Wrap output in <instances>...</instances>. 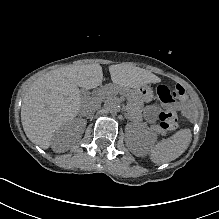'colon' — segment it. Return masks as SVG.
<instances>
[{
	"label": "colon",
	"mask_w": 219,
	"mask_h": 219,
	"mask_svg": "<svg viewBox=\"0 0 219 219\" xmlns=\"http://www.w3.org/2000/svg\"><path fill=\"white\" fill-rule=\"evenodd\" d=\"M172 97L175 99H185L186 93L181 85H176ZM159 124L163 131L171 132L177 127V113L174 109H167L159 113Z\"/></svg>",
	"instance_id": "obj_1"
}]
</instances>
